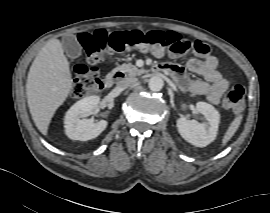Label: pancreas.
I'll list each match as a JSON object with an SVG mask.
<instances>
[{
    "label": "pancreas",
    "instance_id": "obj_1",
    "mask_svg": "<svg viewBox=\"0 0 270 213\" xmlns=\"http://www.w3.org/2000/svg\"><path fill=\"white\" fill-rule=\"evenodd\" d=\"M116 71H120L128 76H138L144 73V69H138L135 65L131 63H124L115 69Z\"/></svg>",
    "mask_w": 270,
    "mask_h": 213
}]
</instances>
